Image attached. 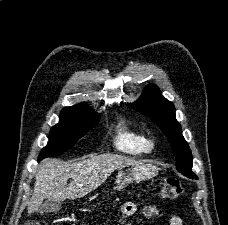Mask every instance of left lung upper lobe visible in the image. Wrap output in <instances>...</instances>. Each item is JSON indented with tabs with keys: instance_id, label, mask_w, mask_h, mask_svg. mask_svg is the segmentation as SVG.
Wrapping results in <instances>:
<instances>
[{
	"instance_id": "left-lung-upper-lobe-1",
	"label": "left lung upper lobe",
	"mask_w": 228,
	"mask_h": 225,
	"mask_svg": "<svg viewBox=\"0 0 228 225\" xmlns=\"http://www.w3.org/2000/svg\"><path fill=\"white\" fill-rule=\"evenodd\" d=\"M130 106L149 116L165 133L176 155V168L186 177L197 179L191 171V150L182 136L180 124L176 121L173 103L165 99L155 85H148L141 97Z\"/></svg>"
}]
</instances>
